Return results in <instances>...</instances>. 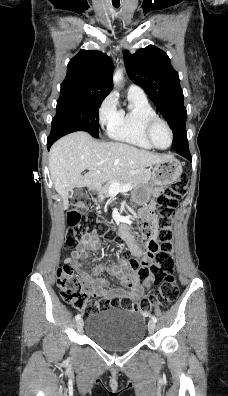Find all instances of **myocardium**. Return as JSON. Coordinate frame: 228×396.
Masks as SVG:
<instances>
[{
    "instance_id": "obj_1",
    "label": "myocardium",
    "mask_w": 228,
    "mask_h": 396,
    "mask_svg": "<svg viewBox=\"0 0 228 396\" xmlns=\"http://www.w3.org/2000/svg\"><path fill=\"white\" fill-rule=\"evenodd\" d=\"M157 123H162L167 128L169 135H170V142H169L168 146L163 147V148L157 146L152 138V130H153V127L155 126V124H157ZM144 135H145V138L147 139V141L150 143V145L153 148L158 149V150L168 149L172 145V142H173V131H172L171 126L165 119L159 117L158 115L149 117L145 120Z\"/></svg>"
}]
</instances>
